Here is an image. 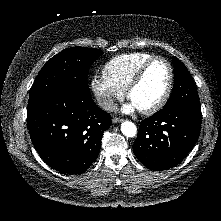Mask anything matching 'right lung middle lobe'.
<instances>
[{
    "instance_id": "obj_1",
    "label": "right lung middle lobe",
    "mask_w": 221,
    "mask_h": 221,
    "mask_svg": "<svg viewBox=\"0 0 221 221\" xmlns=\"http://www.w3.org/2000/svg\"><path fill=\"white\" fill-rule=\"evenodd\" d=\"M102 54L98 49L71 47L53 56L38 73L30 89L28 109L57 89L75 87L89 91V68Z\"/></svg>"
}]
</instances>
